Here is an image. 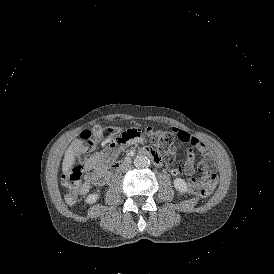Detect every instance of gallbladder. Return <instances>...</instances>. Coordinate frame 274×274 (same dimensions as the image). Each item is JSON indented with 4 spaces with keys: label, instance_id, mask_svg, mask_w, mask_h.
<instances>
[{
    "label": "gallbladder",
    "instance_id": "bac80fb5",
    "mask_svg": "<svg viewBox=\"0 0 274 274\" xmlns=\"http://www.w3.org/2000/svg\"><path fill=\"white\" fill-rule=\"evenodd\" d=\"M100 129H101V127L97 125L94 127V132L97 133L100 131Z\"/></svg>",
    "mask_w": 274,
    "mask_h": 274
}]
</instances>
